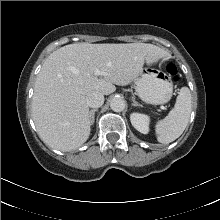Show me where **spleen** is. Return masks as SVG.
<instances>
[{"instance_id":"obj_1","label":"spleen","mask_w":220,"mask_h":220,"mask_svg":"<svg viewBox=\"0 0 220 220\" xmlns=\"http://www.w3.org/2000/svg\"><path fill=\"white\" fill-rule=\"evenodd\" d=\"M192 96L188 87H182L174 108L155 125V133L160 143L168 144L181 136L190 118Z\"/></svg>"}]
</instances>
